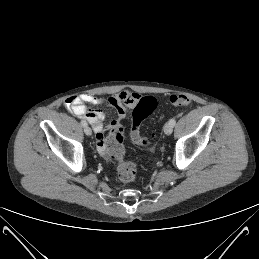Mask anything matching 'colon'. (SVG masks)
Returning <instances> with one entry per match:
<instances>
[{
  "instance_id": "1",
  "label": "colon",
  "mask_w": 259,
  "mask_h": 259,
  "mask_svg": "<svg viewBox=\"0 0 259 259\" xmlns=\"http://www.w3.org/2000/svg\"><path fill=\"white\" fill-rule=\"evenodd\" d=\"M169 102L174 106H187L191 99L186 94H173ZM156 99L152 96L141 97L132 113L131 137L132 140L141 146H150L151 140L140 132L143 120L149 116L156 107ZM104 155L117 164V175L123 183H131L136 179L137 167L128 160H125L124 133L121 124L113 125L105 139Z\"/></svg>"
}]
</instances>
